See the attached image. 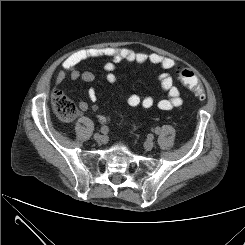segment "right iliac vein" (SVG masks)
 <instances>
[{
    "mask_svg": "<svg viewBox=\"0 0 245 245\" xmlns=\"http://www.w3.org/2000/svg\"><path fill=\"white\" fill-rule=\"evenodd\" d=\"M94 139H95V141H97V142H104V141H105V136H104V135H101V134H99V133H96V134L94 135Z\"/></svg>",
    "mask_w": 245,
    "mask_h": 245,
    "instance_id": "right-iliac-vein-1",
    "label": "right iliac vein"
}]
</instances>
